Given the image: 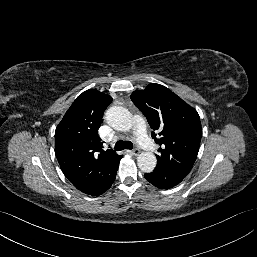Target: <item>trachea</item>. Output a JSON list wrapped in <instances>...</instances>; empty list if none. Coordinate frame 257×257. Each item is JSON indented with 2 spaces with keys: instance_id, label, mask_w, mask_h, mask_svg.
<instances>
[{
  "instance_id": "obj_1",
  "label": "trachea",
  "mask_w": 257,
  "mask_h": 257,
  "mask_svg": "<svg viewBox=\"0 0 257 257\" xmlns=\"http://www.w3.org/2000/svg\"><path fill=\"white\" fill-rule=\"evenodd\" d=\"M124 149H129V150L133 149V143L131 141H123V140L116 142L115 144L116 151H121Z\"/></svg>"
}]
</instances>
